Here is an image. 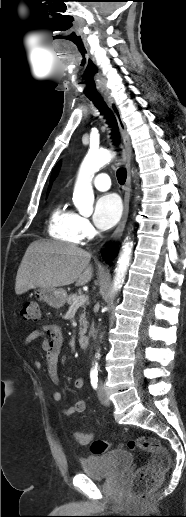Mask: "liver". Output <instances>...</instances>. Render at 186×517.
I'll use <instances>...</instances> for the list:
<instances>
[{"label": "liver", "mask_w": 186, "mask_h": 517, "mask_svg": "<svg viewBox=\"0 0 186 517\" xmlns=\"http://www.w3.org/2000/svg\"><path fill=\"white\" fill-rule=\"evenodd\" d=\"M91 254L73 244L35 241L27 248L17 271L15 293L40 287L87 284L93 277Z\"/></svg>", "instance_id": "1"}]
</instances>
